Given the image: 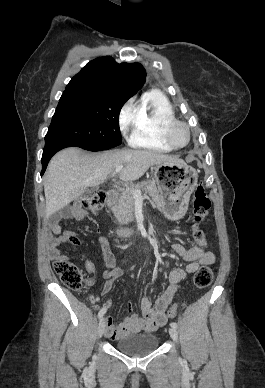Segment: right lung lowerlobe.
Segmentation results:
<instances>
[{"instance_id": "right-lung-lower-lobe-1", "label": "right lung lower lobe", "mask_w": 265, "mask_h": 388, "mask_svg": "<svg viewBox=\"0 0 265 388\" xmlns=\"http://www.w3.org/2000/svg\"><path fill=\"white\" fill-rule=\"evenodd\" d=\"M70 146H72V145H69V144H57V145L51 146L49 148H44L43 155H42V160H41L42 161V171H41V174H44L49 160L51 159V157L57 151H59V150H61L63 148H66V147H70Z\"/></svg>"}]
</instances>
